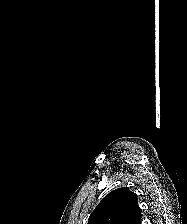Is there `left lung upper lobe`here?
<instances>
[{
  "instance_id": "1",
  "label": "left lung upper lobe",
  "mask_w": 187,
  "mask_h": 224,
  "mask_svg": "<svg viewBox=\"0 0 187 224\" xmlns=\"http://www.w3.org/2000/svg\"><path fill=\"white\" fill-rule=\"evenodd\" d=\"M137 196L128 188L107 194L91 213L88 224H141Z\"/></svg>"
}]
</instances>
